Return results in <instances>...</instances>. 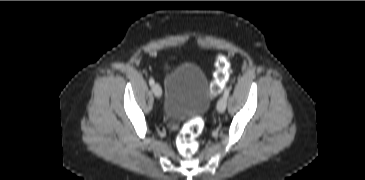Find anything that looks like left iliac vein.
I'll return each mask as SVG.
<instances>
[{
    "instance_id": "left-iliac-vein-1",
    "label": "left iliac vein",
    "mask_w": 365,
    "mask_h": 180,
    "mask_svg": "<svg viewBox=\"0 0 365 180\" xmlns=\"http://www.w3.org/2000/svg\"><path fill=\"white\" fill-rule=\"evenodd\" d=\"M227 106V99L225 97H221L217 103V111L222 113L225 111Z\"/></svg>"
}]
</instances>
